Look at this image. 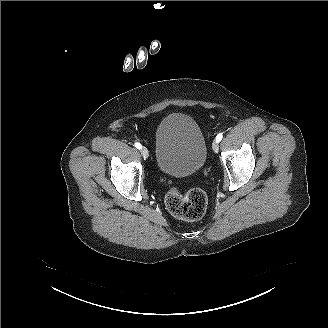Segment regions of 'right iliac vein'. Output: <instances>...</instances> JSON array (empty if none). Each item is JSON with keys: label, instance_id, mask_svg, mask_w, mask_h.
I'll use <instances>...</instances> for the list:
<instances>
[{"label": "right iliac vein", "instance_id": "obj_1", "mask_svg": "<svg viewBox=\"0 0 328 328\" xmlns=\"http://www.w3.org/2000/svg\"><path fill=\"white\" fill-rule=\"evenodd\" d=\"M141 155L143 156V158H148L149 157V151L147 150L146 147H141L140 149Z\"/></svg>", "mask_w": 328, "mask_h": 328}]
</instances>
